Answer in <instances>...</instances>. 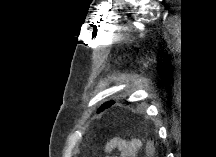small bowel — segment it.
<instances>
[{
    "instance_id": "obj_1",
    "label": "small bowel",
    "mask_w": 216,
    "mask_h": 157,
    "mask_svg": "<svg viewBox=\"0 0 216 157\" xmlns=\"http://www.w3.org/2000/svg\"><path fill=\"white\" fill-rule=\"evenodd\" d=\"M142 148V142L139 139L133 138L125 140L119 137L111 139L105 146V151L108 154L118 151L120 157H136ZM153 153V147L149 143L146 149V154L149 156Z\"/></svg>"
}]
</instances>
